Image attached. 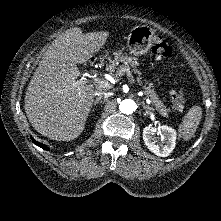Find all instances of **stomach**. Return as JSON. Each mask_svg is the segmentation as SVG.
<instances>
[{"mask_svg": "<svg viewBox=\"0 0 221 221\" xmlns=\"http://www.w3.org/2000/svg\"><path fill=\"white\" fill-rule=\"evenodd\" d=\"M153 39L154 30L151 27L147 25L134 27L127 38L130 54L136 57L146 54L152 47Z\"/></svg>", "mask_w": 221, "mask_h": 221, "instance_id": "stomach-1", "label": "stomach"}]
</instances>
